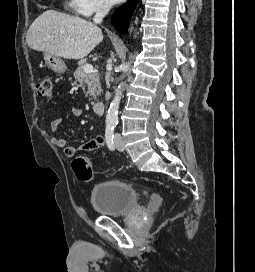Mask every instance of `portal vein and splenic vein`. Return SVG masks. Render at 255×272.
Segmentation results:
<instances>
[{
    "mask_svg": "<svg viewBox=\"0 0 255 272\" xmlns=\"http://www.w3.org/2000/svg\"><path fill=\"white\" fill-rule=\"evenodd\" d=\"M84 72H85V73H91V72H93V66L90 65V64H86V65L84 66Z\"/></svg>",
    "mask_w": 255,
    "mask_h": 272,
    "instance_id": "obj_1",
    "label": "portal vein and splenic vein"
}]
</instances>
